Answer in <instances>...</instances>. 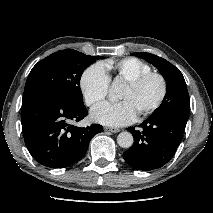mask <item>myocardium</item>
<instances>
[{"label":"myocardium","mask_w":213,"mask_h":213,"mask_svg":"<svg viewBox=\"0 0 213 213\" xmlns=\"http://www.w3.org/2000/svg\"><path fill=\"white\" fill-rule=\"evenodd\" d=\"M149 79H156L160 84V92L157 98L147 107L142 109L138 114L139 116H147L154 112L156 109H158L163 101L166 98L168 87H167V81L165 77L158 73V72H147L144 74L139 75L138 77L130 80L127 82V86H129L132 89H137L140 86H142L145 82H147Z\"/></svg>","instance_id":"obj_1"}]
</instances>
